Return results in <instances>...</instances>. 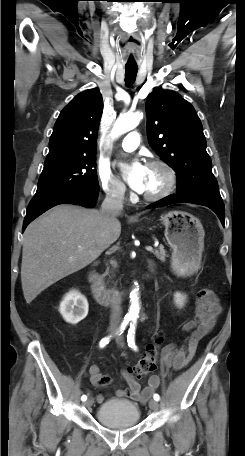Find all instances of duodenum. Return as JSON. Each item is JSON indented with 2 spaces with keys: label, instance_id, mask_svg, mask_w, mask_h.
Segmentation results:
<instances>
[{
  "label": "duodenum",
  "instance_id": "duodenum-1",
  "mask_svg": "<svg viewBox=\"0 0 245 456\" xmlns=\"http://www.w3.org/2000/svg\"><path fill=\"white\" fill-rule=\"evenodd\" d=\"M88 281L95 298L104 304H115L122 300L123 293L107 289L100 276L94 271L88 272Z\"/></svg>",
  "mask_w": 245,
  "mask_h": 456
}]
</instances>
